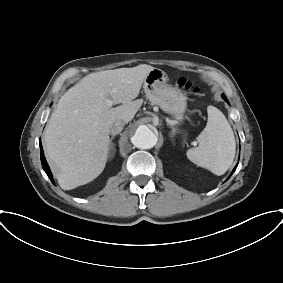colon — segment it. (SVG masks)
Returning <instances> with one entry per match:
<instances>
[{"mask_svg":"<svg viewBox=\"0 0 283 283\" xmlns=\"http://www.w3.org/2000/svg\"><path fill=\"white\" fill-rule=\"evenodd\" d=\"M178 84H179V86L181 87V88H184V89H186V90H190V91H192V92H194V93H197L198 92V89H197V87L194 85V83L190 80V79H188V78H180L179 80H178Z\"/></svg>","mask_w":283,"mask_h":283,"instance_id":"5ec220e1","label":"colon"}]
</instances>
